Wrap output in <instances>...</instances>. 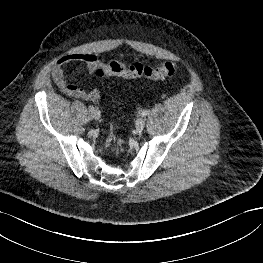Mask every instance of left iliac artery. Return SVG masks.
I'll return each mask as SVG.
<instances>
[{"label":"left iliac artery","instance_id":"44dca946","mask_svg":"<svg viewBox=\"0 0 263 263\" xmlns=\"http://www.w3.org/2000/svg\"><path fill=\"white\" fill-rule=\"evenodd\" d=\"M148 114V111L147 110H143L142 112H141V115L142 116H146Z\"/></svg>","mask_w":263,"mask_h":263}]
</instances>
